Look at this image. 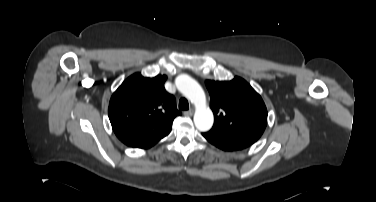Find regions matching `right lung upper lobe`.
<instances>
[{"instance_id":"1","label":"right lung upper lobe","mask_w":376,"mask_h":202,"mask_svg":"<svg viewBox=\"0 0 376 202\" xmlns=\"http://www.w3.org/2000/svg\"><path fill=\"white\" fill-rule=\"evenodd\" d=\"M166 78L135 73L113 93L109 119L116 136L127 146L150 148L170 133L174 118L181 115L174 96L164 88Z\"/></svg>"}]
</instances>
